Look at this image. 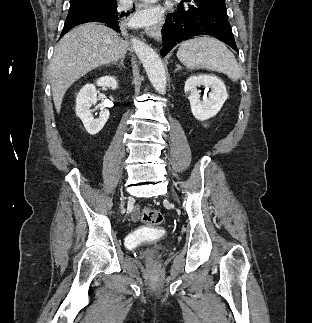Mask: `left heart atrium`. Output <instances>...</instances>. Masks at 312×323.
I'll return each mask as SVG.
<instances>
[{"mask_svg": "<svg viewBox=\"0 0 312 323\" xmlns=\"http://www.w3.org/2000/svg\"><path fill=\"white\" fill-rule=\"evenodd\" d=\"M155 3L156 0H131L132 4H150V3Z\"/></svg>", "mask_w": 312, "mask_h": 323, "instance_id": "39dd6f15", "label": "left heart atrium"}]
</instances>
